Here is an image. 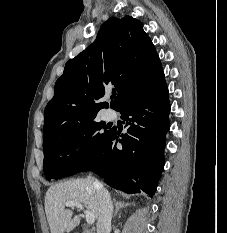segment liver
I'll list each match as a JSON object with an SVG mask.
<instances>
[{
	"mask_svg": "<svg viewBox=\"0 0 227 233\" xmlns=\"http://www.w3.org/2000/svg\"><path fill=\"white\" fill-rule=\"evenodd\" d=\"M67 201L82 203L87 211L99 217V198L91 178H79L50 186L45 195V213L51 233H69L80 223L73 210L65 209Z\"/></svg>",
	"mask_w": 227,
	"mask_h": 233,
	"instance_id": "obj_1",
	"label": "liver"
}]
</instances>
